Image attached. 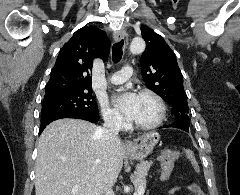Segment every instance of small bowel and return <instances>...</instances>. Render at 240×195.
<instances>
[{
	"mask_svg": "<svg viewBox=\"0 0 240 195\" xmlns=\"http://www.w3.org/2000/svg\"><path fill=\"white\" fill-rule=\"evenodd\" d=\"M197 186H198V188H200V186L198 184H197ZM177 191H178L177 187L170 188L168 190V192H167V195H175ZM187 191L190 193V195H206L205 192H202V193H192L190 184L187 186Z\"/></svg>",
	"mask_w": 240,
	"mask_h": 195,
	"instance_id": "1",
	"label": "small bowel"
}]
</instances>
